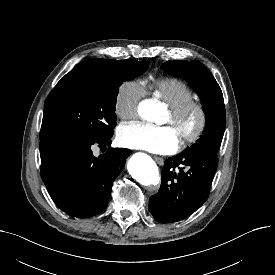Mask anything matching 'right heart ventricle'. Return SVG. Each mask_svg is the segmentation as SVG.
<instances>
[{"mask_svg":"<svg viewBox=\"0 0 275 275\" xmlns=\"http://www.w3.org/2000/svg\"><path fill=\"white\" fill-rule=\"evenodd\" d=\"M150 91L169 108L179 106L195 98L192 88L183 80L173 77L159 78L149 84Z\"/></svg>","mask_w":275,"mask_h":275,"instance_id":"right-heart-ventricle-1","label":"right heart ventricle"}]
</instances>
